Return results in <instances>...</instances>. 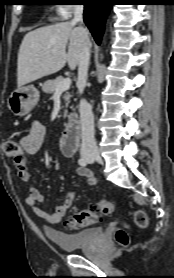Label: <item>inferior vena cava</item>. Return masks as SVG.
<instances>
[{"instance_id":"inferior-vena-cava-1","label":"inferior vena cava","mask_w":174,"mask_h":278,"mask_svg":"<svg viewBox=\"0 0 174 278\" xmlns=\"http://www.w3.org/2000/svg\"><path fill=\"white\" fill-rule=\"evenodd\" d=\"M83 22V5L74 6V18L71 21L72 25ZM82 28V27H81ZM90 61V47L85 45L83 47V52L78 63V78L77 87L79 93H83V90L87 81V72ZM80 121H81V153H98V148L96 145L94 137V116L92 112L91 105L85 100L81 99L79 103Z\"/></svg>"}]
</instances>
